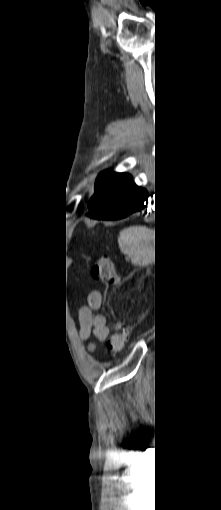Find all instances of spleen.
<instances>
[{"label": "spleen", "mask_w": 221, "mask_h": 510, "mask_svg": "<svg viewBox=\"0 0 221 510\" xmlns=\"http://www.w3.org/2000/svg\"><path fill=\"white\" fill-rule=\"evenodd\" d=\"M118 244L134 264H146L153 255L154 232L145 226H131L120 232Z\"/></svg>", "instance_id": "obj_1"}]
</instances>
